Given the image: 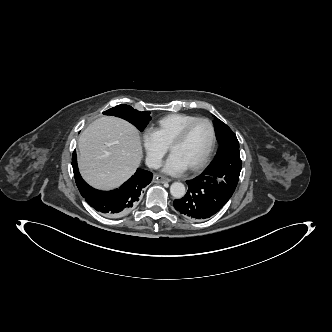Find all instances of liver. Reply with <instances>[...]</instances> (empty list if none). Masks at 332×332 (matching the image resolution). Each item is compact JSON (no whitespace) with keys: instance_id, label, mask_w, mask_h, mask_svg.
Segmentation results:
<instances>
[{"instance_id":"1","label":"liver","mask_w":332,"mask_h":332,"mask_svg":"<svg viewBox=\"0 0 332 332\" xmlns=\"http://www.w3.org/2000/svg\"><path fill=\"white\" fill-rule=\"evenodd\" d=\"M78 166L83 179L102 190L117 188L139 166L142 146L136 128L127 121L103 116L78 140Z\"/></svg>"}]
</instances>
